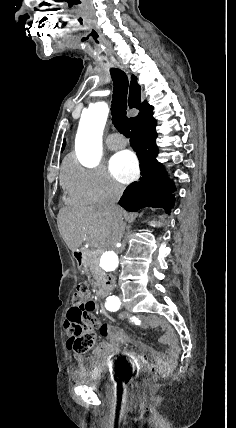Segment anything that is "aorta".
I'll return each mask as SVG.
<instances>
[{
	"label": "aorta",
	"mask_w": 236,
	"mask_h": 428,
	"mask_svg": "<svg viewBox=\"0 0 236 428\" xmlns=\"http://www.w3.org/2000/svg\"><path fill=\"white\" fill-rule=\"evenodd\" d=\"M108 113V105L105 102H97L81 115L75 147L80 160L85 165H95L100 161L102 135ZM118 265V255L114 251H106L101 256L100 266L103 270L114 271Z\"/></svg>",
	"instance_id": "762f6f07"
}]
</instances>
